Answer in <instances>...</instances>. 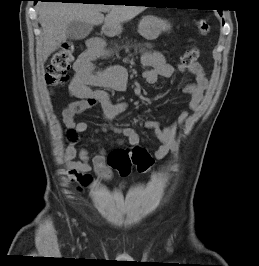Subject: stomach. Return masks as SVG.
Here are the masks:
<instances>
[{"mask_svg": "<svg viewBox=\"0 0 259 266\" xmlns=\"http://www.w3.org/2000/svg\"><path fill=\"white\" fill-rule=\"evenodd\" d=\"M170 29L167 21L154 16L144 17L138 27L139 33L147 40H155L162 32ZM121 32V25L107 29V34L117 35Z\"/></svg>", "mask_w": 259, "mask_h": 266, "instance_id": "obj_1", "label": "stomach"}]
</instances>
